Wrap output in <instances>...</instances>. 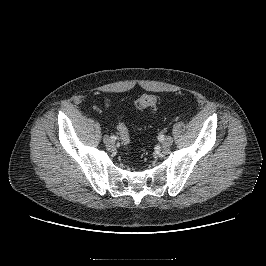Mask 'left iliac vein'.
I'll return each instance as SVG.
<instances>
[{
  "label": "left iliac vein",
  "instance_id": "4c4485c4",
  "mask_svg": "<svg viewBox=\"0 0 266 266\" xmlns=\"http://www.w3.org/2000/svg\"><path fill=\"white\" fill-rule=\"evenodd\" d=\"M172 143H173V139H172V137L167 136V137L164 138V140H163V142H162V146H163V147H169V146L172 145Z\"/></svg>",
  "mask_w": 266,
  "mask_h": 266
}]
</instances>
